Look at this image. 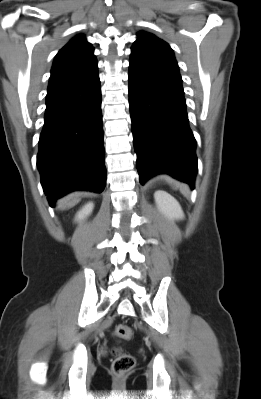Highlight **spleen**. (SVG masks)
Listing matches in <instances>:
<instances>
[{
  "label": "spleen",
  "instance_id": "3e777b00",
  "mask_svg": "<svg viewBox=\"0 0 261 399\" xmlns=\"http://www.w3.org/2000/svg\"><path fill=\"white\" fill-rule=\"evenodd\" d=\"M176 187H180L182 193H186L187 192V187L185 185H181V184L177 183Z\"/></svg>",
  "mask_w": 261,
  "mask_h": 399
}]
</instances>
